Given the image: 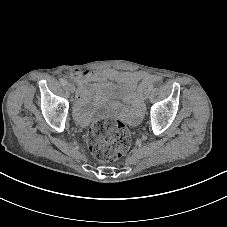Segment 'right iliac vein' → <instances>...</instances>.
I'll return each instance as SVG.
<instances>
[{
    "mask_svg": "<svg viewBox=\"0 0 227 227\" xmlns=\"http://www.w3.org/2000/svg\"><path fill=\"white\" fill-rule=\"evenodd\" d=\"M67 89H68L71 93H73V92L75 91V87H74V85L71 84V83H69V84L67 85Z\"/></svg>",
    "mask_w": 227,
    "mask_h": 227,
    "instance_id": "63e3f726",
    "label": "right iliac vein"
}]
</instances>
